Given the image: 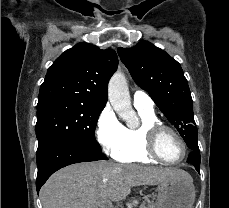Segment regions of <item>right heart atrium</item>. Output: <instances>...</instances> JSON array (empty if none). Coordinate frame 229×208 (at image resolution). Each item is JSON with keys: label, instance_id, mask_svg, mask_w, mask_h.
Masks as SVG:
<instances>
[{"label": "right heart atrium", "instance_id": "right-heart-atrium-1", "mask_svg": "<svg viewBox=\"0 0 229 208\" xmlns=\"http://www.w3.org/2000/svg\"><path fill=\"white\" fill-rule=\"evenodd\" d=\"M95 137L102 149L110 154H113L124 144L123 125L111 108H103L98 115L95 124Z\"/></svg>", "mask_w": 229, "mask_h": 208}]
</instances>
